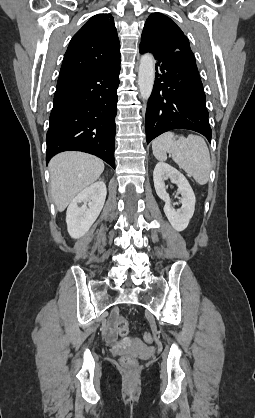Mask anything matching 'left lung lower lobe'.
Returning a JSON list of instances; mask_svg holds the SVG:
<instances>
[{
	"instance_id": "obj_1",
	"label": "left lung lower lobe",
	"mask_w": 255,
	"mask_h": 418,
	"mask_svg": "<svg viewBox=\"0 0 255 418\" xmlns=\"http://www.w3.org/2000/svg\"><path fill=\"white\" fill-rule=\"evenodd\" d=\"M154 58L155 83L145 117L147 143L172 129L194 130L210 142L206 97L194 54L171 53Z\"/></svg>"
}]
</instances>
